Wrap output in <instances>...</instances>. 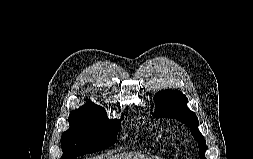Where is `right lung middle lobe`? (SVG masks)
Returning a JSON list of instances; mask_svg holds the SVG:
<instances>
[{"label": "right lung middle lobe", "mask_w": 253, "mask_h": 159, "mask_svg": "<svg viewBox=\"0 0 253 159\" xmlns=\"http://www.w3.org/2000/svg\"><path fill=\"white\" fill-rule=\"evenodd\" d=\"M69 124L70 128L61 137V159H75L79 155L97 152L113 145L121 120H109L104 108L87 104L70 113Z\"/></svg>", "instance_id": "right-lung-middle-lobe-1"}]
</instances>
